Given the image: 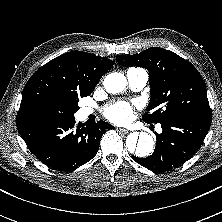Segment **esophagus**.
Returning a JSON list of instances; mask_svg holds the SVG:
<instances>
[{"mask_svg":"<svg viewBox=\"0 0 222 222\" xmlns=\"http://www.w3.org/2000/svg\"><path fill=\"white\" fill-rule=\"evenodd\" d=\"M117 131H119L120 133H123V134H128L130 131L125 129V128H117Z\"/></svg>","mask_w":222,"mask_h":222,"instance_id":"1","label":"esophagus"}]
</instances>
